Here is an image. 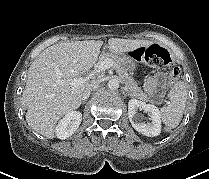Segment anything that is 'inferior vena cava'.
Segmentation results:
<instances>
[{
  "label": "inferior vena cava",
  "mask_w": 209,
  "mask_h": 179,
  "mask_svg": "<svg viewBox=\"0 0 209 179\" xmlns=\"http://www.w3.org/2000/svg\"><path fill=\"white\" fill-rule=\"evenodd\" d=\"M100 84L99 80H93L91 83L87 86L86 90L84 91L82 95V100H86L91 92Z\"/></svg>",
  "instance_id": "1"
}]
</instances>
